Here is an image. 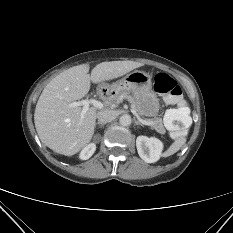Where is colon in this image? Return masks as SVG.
<instances>
[{"label": "colon", "instance_id": "obj_1", "mask_svg": "<svg viewBox=\"0 0 233 233\" xmlns=\"http://www.w3.org/2000/svg\"><path fill=\"white\" fill-rule=\"evenodd\" d=\"M154 89L167 97L168 108L164 121L170 135L173 138L184 135L191 123V113L179 85L168 74L158 73L154 78Z\"/></svg>", "mask_w": 233, "mask_h": 233}]
</instances>
